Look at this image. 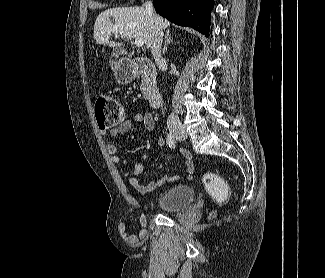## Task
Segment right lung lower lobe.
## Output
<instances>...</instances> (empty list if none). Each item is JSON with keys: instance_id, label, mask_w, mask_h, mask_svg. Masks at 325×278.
<instances>
[{"instance_id": "1", "label": "right lung lower lobe", "mask_w": 325, "mask_h": 278, "mask_svg": "<svg viewBox=\"0 0 325 278\" xmlns=\"http://www.w3.org/2000/svg\"><path fill=\"white\" fill-rule=\"evenodd\" d=\"M156 12L169 21L192 27L206 37L209 35L213 0H153Z\"/></svg>"}]
</instances>
